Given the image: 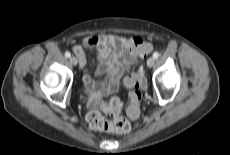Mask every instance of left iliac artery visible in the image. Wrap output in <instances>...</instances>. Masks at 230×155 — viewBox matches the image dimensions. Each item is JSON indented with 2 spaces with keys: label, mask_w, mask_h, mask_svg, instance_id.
I'll list each match as a JSON object with an SVG mask.
<instances>
[{
  "label": "left iliac artery",
  "mask_w": 230,
  "mask_h": 155,
  "mask_svg": "<svg viewBox=\"0 0 230 155\" xmlns=\"http://www.w3.org/2000/svg\"><path fill=\"white\" fill-rule=\"evenodd\" d=\"M158 57H159V53H158V52H154V53H153V58H154V59H157Z\"/></svg>",
  "instance_id": "left-iliac-artery-1"
}]
</instances>
